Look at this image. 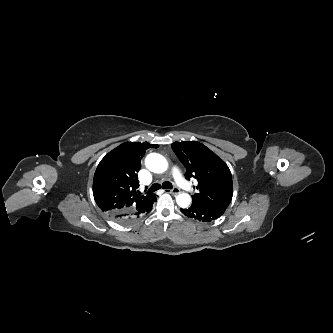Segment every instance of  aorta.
Returning <instances> with one entry per match:
<instances>
[{
  "mask_svg": "<svg viewBox=\"0 0 333 333\" xmlns=\"http://www.w3.org/2000/svg\"><path fill=\"white\" fill-rule=\"evenodd\" d=\"M145 165L147 169L154 173H163L168 168V162L165 157L157 153L149 154L145 159ZM176 202L181 208H186L191 203V197L187 193H182L176 197Z\"/></svg>",
  "mask_w": 333,
  "mask_h": 333,
  "instance_id": "762f6f07",
  "label": "aorta"
}]
</instances>
